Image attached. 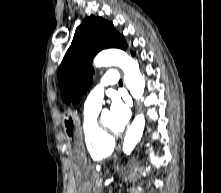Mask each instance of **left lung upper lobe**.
<instances>
[{
    "label": "left lung upper lobe",
    "instance_id": "obj_1",
    "mask_svg": "<svg viewBox=\"0 0 221 193\" xmlns=\"http://www.w3.org/2000/svg\"><path fill=\"white\" fill-rule=\"evenodd\" d=\"M105 48H127L112 23L101 17H87L76 29L71 46L58 71L62 99L76 105L92 83V59Z\"/></svg>",
    "mask_w": 221,
    "mask_h": 193
}]
</instances>
